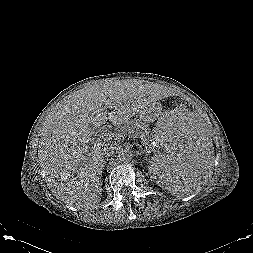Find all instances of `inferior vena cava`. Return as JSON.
<instances>
[{
  "instance_id": "inferior-vena-cava-1",
  "label": "inferior vena cava",
  "mask_w": 253,
  "mask_h": 253,
  "mask_svg": "<svg viewBox=\"0 0 253 253\" xmlns=\"http://www.w3.org/2000/svg\"><path fill=\"white\" fill-rule=\"evenodd\" d=\"M102 150H103V155L105 157H109V156H112L116 152L117 147L114 144L108 143Z\"/></svg>"
}]
</instances>
